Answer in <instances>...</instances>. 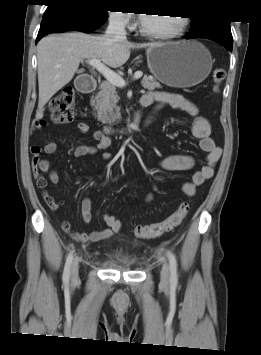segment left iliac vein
Listing matches in <instances>:
<instances>
[{"instance_id":"obj_1","label":"left iliac vein","mask_w":261,"mask_h":355,"mask_svg":"<svg viewBox=\"0 0 261 355\" xmlns=\"http://www.w3.org/2000/svg\"><path fill=\"white\" fill-rule=\"evenodd\" d=\"M160 278H161V284L164 286H168L170 281V268H169V264L166 261L163 263Z\"/></svg>"}]
</instances>
